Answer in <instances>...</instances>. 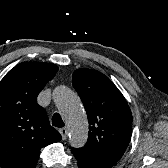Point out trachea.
Wrapping results in <instances>:
<instances>
[{
  "label": "trachea",
  "instance_id": "trachea-1",
  "mask_svg": "<svg viewBox=\"0 0 168 168\" xmlns=\"http://www.w3.org/2000/svg\"><path fill=\"white\" fill-rule=\"evenodd\" d=\"M52 125L58 128L64 127V122L59 113H55L52 117Z\"/></svg>",
  "mask_w": 168,
  "mask_h": 168
}]
</instances>
